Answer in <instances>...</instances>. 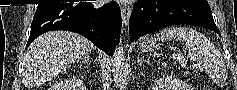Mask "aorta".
I'll list each match as a JSON object with an SVG mask.
<instances>
[{"instance_id":"obj_1","label":"aorta","mask_w":237,"mask_h":90,"mask_svg":"<svg viewBox=\"0 0 237 90\" xmlns=\"http://www.w3.org/2000/svg\"><path fill=\"white\" fill-rule=\"evenodd\" d=\"M112 76L115 88L124 90L128 80V62L122 42L116 46L112 56Z\"/></svg>"}]
</instances>
